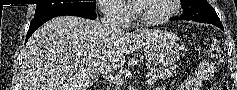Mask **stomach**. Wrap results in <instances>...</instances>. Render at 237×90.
I'll list each match as a JSON object with an SVG mask.
<instances>
[{"instance_id": "1", "label": "stomach", "mask_w": 237, "mask_h": 90, "mask_svg": "<svg viewBox=\"0 0 237 90\" xmlns=\"http://www.w3.org/2000/svg\"><path fill=\"white\" fill-rule=\"evenodd\" d=\"M144 52L150 62L166 67L173 65L180 59L182 49L173 41L157 36L149 41L145 46Z\"/></svg>"}]
</instances>
